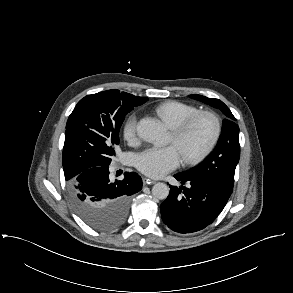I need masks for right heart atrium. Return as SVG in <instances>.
<instances>
[{
    "mask_svg": "<svg viewBox=\"0 0 293 293\" xmlns=\"http://www.w3.org/2000/svg\"><path fill=\"white\" fill-rule=\"evenodd\" d=\"M137 135V118L135 115H130L123 125V136L128 141L135 140Z\"/></svg>",
    "mask_w": 293,
    "mask_h": 293,
    "instance_id": "right-heart-atrium-1",
    "label": "right heart atrium"
}]
</instances>
